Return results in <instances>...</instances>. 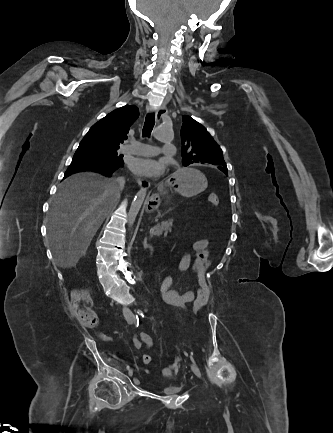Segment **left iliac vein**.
Instances as JSON below:
<instances>
[{"label": "left iliac vein", "instance_id": "left-iliac-vein-1", "mask_svg": "<svg viewBox=\"0 0 333 433\" xmlns=\"http://www.w3.org/2000/svg\"><path fill=\"white\" fill-rule=\"evenodd\" d=\"M191 369H192L193 373H194L197 377L201 378V372H200L199 368H198L196 365L192 364V365H191Z\"/></svg>", "mask_w": 333, "mask_h": 433}]
</instances>
